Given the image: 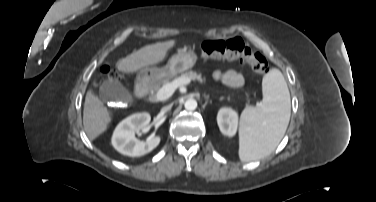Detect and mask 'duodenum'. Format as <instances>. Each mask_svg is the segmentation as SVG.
Masks as SVG:
<instances>
[{
  "label": "duodenum",
  "mask_w": 376,
  "mask_h": 202,
  "mask_svg": "<svg viewBox=\"0 0 376 202\" xmlns=\"http://www.w3.org/2000/svg\"><path fill=\"white\" fill-rule=\"evenodd\" d=\"M149 91V82L145 78H141L135 88V94L138 98H144Z\"/></svg>",
  "instance_id": "410a0bca"
}]
</instances>
